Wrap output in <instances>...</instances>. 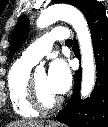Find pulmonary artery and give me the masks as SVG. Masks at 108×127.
<instances>
[{
    "label": "pulmonary artery",
    "instance_id": "e3ab8cb5",
    "mask_svg": "<svg viewBox=\"0 0 108 127\" xmlns=\"http://www.w3.org/2000/svg\"><path fill=\"white\" fill-rule=\"evenodd\" d=\"M69 32L65 28H55L51 32L43 35L41 38L31 44L22 54V59L32 64L39 62L41 58L47 55L55 41L66 40Z\"/></svg>",
    "mask_w": 108,
    "mask_h": 127
}]
</instances>
